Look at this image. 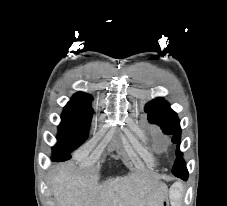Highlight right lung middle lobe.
<instances>
[{
  "instance_id": "1",
  "label": "right lung middle lobe",
  "mask_w": 227,
  "mask_h": 206,
  "mask_svg": "<svg viewBox=\"0 0 227 206\" xmlns=\"http://www.w3.org/2000/svg\"><path fill=\"white\" fill-rule=\"evenodd\" d=\"M90 102L91 100H71L64 108L58 144L53 148L55 161L69 159L68 151L77 148L87 139L93 113Z\"/></svg>"
}]
</instances>
